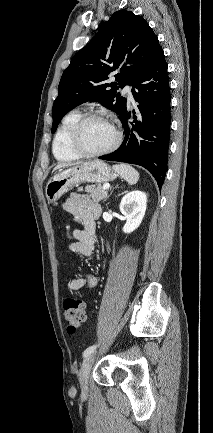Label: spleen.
<instances>
[{
    "label": "spleen",
    "mask_w": 213,
    "mask_h": 433,
    "mask_svg": "<svg viewBox=\"0 0 213 433\" xmlns=\"http://www.w3.org/2000/svg\"><path fill=\"white\" fill-rule=\"evenodd\" d=\"M113 169L129 184H136L139 180V173L130 165L117 164Z\"/></svg>",
    "instance_id": "spleen-1"
}]
</instances>
